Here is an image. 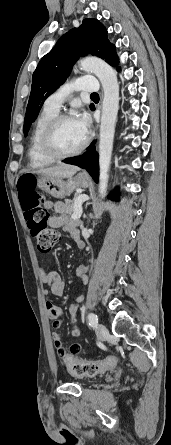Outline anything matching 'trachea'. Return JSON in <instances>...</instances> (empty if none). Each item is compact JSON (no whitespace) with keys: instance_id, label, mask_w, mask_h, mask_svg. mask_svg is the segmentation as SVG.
<instances>
[{"instance_id":"obj_1","label":"trachea","mask_w":171,"mask_h":445,"mask_svg":"<svg viewBox=\"0 0 171 445\" xmlns=\"http://www.w3.org/2000/svg\"><path fill=\"white\" fill-rule=\"evenodd\" d=\"M91 97H99L98 93H92Z\"/></svg>"}]
</instances>
